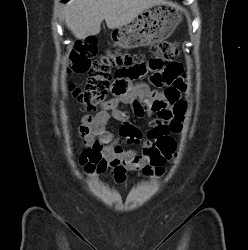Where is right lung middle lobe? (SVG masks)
I'll return each mask as SVG.
<instances>
[{
	"label": "right lung middle lobe",
	"instance_id": "right-lung-middle-lobe-1",
	"mask_svg": "<svg viewBox=\"0 0 248 250\" xmlns=\"http://www.w3.org/2000/svg\"><path fill=\"white\" fill-rule=\"evenodd\" d=\"M66 1H68V0H63V2H66Z\"/></svg>",
	"mask_w": 248,
	"mask_h": 250
}]
</instances>
